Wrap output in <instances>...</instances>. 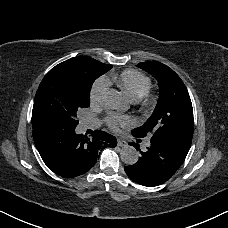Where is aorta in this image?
<instances>
[{
  "label": "aorta",
  "instance_id": "1",
  "mask_svg": "<svg viewBox=\"0 0 228 228\" xmlns=\"http://www.w3.org/2000/svg\"><path fill=\"white\" fill-rule=\"evenodd\" d=\"M104 106L107 109L125 110L127 100L124 95L114 89H109L103 97ZM121 160L126 165H134L139 159V152L133 146H124L120 152Z\"/></svg>",
  "mask_w": 228,
  "mask_h": 228
}]
</instances>
